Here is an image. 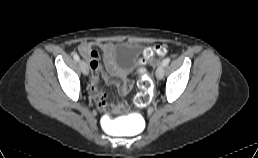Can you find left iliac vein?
Wrapping results in <instances>:
<instances>
[{"instance_id":"left-iliac-vein-1","label":"left iliac vein","mask_w":258,"mask_h":158,"mask_svg":"<svg viewBox=\"0 0 258 158\" xmlns=\"http://www.w3.org/2000/svg\"><path fill=\"white\" fill-rule=\"evenodd\" d=\"M165 66L162 64L156 70L157 79L161 80L164 76Z\"/></svg>"}]
</instances>
